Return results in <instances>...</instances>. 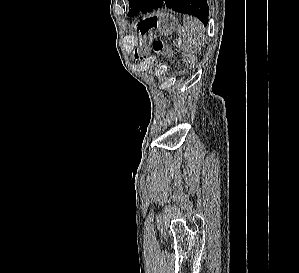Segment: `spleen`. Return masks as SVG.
<instances>
[{
    "label": "spleen",
    "instance_id": "spleen-1",
    "mask_svg": "<svg viewBox=\"0 0 299 273\" xmlns=\"http://www.w3.org/2000/svg\"><path fill=\"white\" fill-rule=\"evenodd\" d=\"M177 33L180 42L178 46L188 54H195L201 51L205 38L203 24L196 18L186 17L183 20V27H178Z\"/></svg>",
    "mask_w": 299,
    "mask_h": 273
}]
</instances>
